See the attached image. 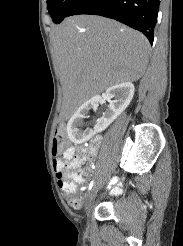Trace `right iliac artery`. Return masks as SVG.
Returning <instances> with one entry per match:
<instances>
[{
  "instance_id": "1",
  "label": "right iliac artery",
  "mask_w": 183,
  "mask_h": 246,
  "mask_svg": "<svg viewBox=\"0 0 183 246\" xmlns=\"http://www.w3.org/2000/svg\"><path fill=\"white\" fill-rule=\"evenodd\" d=\"M116 182V178H113L111 181V184H114ZM94 182L91 181V183L89 184L88 190H91V188L93 187Z\"/></svg>"
}]
</instances>
